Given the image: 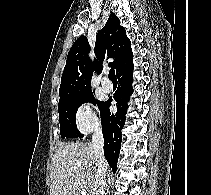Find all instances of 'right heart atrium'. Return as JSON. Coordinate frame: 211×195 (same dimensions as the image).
Instances as JSON below:
<instances>
[{"mask_svg":"<svg viewBox=\"0 0 211 195\" xmlns=\"http://www.w3.org/2000/svg\"><path fill=\"white\" fill-rule=\"evenodd\" d=\"M75 124L82 133H89L99 127V118L90 102L78 106L75 112Z\"/></svg>","mask_w":211,"mask_h":195,"instance_id":"d8ad5b80","label":"right heart atrium"}]
</instances>
